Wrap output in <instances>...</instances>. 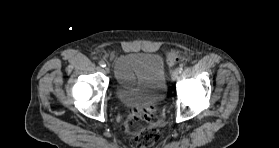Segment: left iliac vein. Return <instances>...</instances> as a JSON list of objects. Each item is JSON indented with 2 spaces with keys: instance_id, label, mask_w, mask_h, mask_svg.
<instances>
[{
  "instance_id": "obj_1",
  "label": "left iliac vein",
  "mask_w": 279,
  "mask_h": 148,
  "mask_svg": "<svg viewBox=\"0 0 279 148\" xmlns=\"http://www.w3.org/2000/svg\"><path fill=\"white\" fill-rule=\"evenodd\" d=\"M178 76H179L178 70H174L171 74L172 80H176L178 78Z\"/></svg>"
}]
</instances>
